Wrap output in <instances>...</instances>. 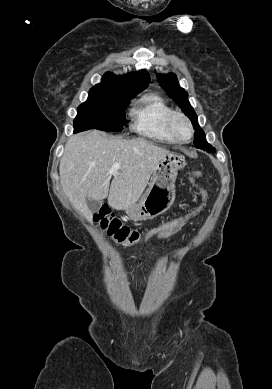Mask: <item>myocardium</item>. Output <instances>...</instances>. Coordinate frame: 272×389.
I'll return each instance as SVG.
<instances>
[{"label": "myocardium", "mask_w": 272, "mask_h": 389, "mask_svg": "<svg viewBox=\"0 0 272 389\" xmlns=\"http://www.w3.org/2000/svg\"><path fill=\"white\" fill-rule=\"evenodd\" d=\"M178 119H181L183 120L187 126H188V129H189V136L187 138H182L180 137L177 132H176V129H175V122L178 120ZM167 126H168V130L170 132V134L172 135V137L177 141V142H180V143H187L189 142L193 135H194V128H193V125L191 123V120L189 119V117L184 114L183 112H180V111H173L169 117H168V120H167Z\"/></svg>", "instance_id": "f54148a6"}]
</instances>
